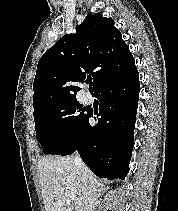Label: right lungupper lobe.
<instances>
[{"label":"right lung upper lobe","instance_id":"obj_1","mask_svg":"<svg viewBox=\"0 0 178 211\" xmlns=\"http://www.w3.org/2000/svg\"><path fill=\"white\" fill-rule=\"evenodd\" d=\"M135 68V60L114 21L102 14H88L75 34L63 36L37 65L33 82L34 114L45 107L76 100L80 83L92 75L93 91Z\"/></svg>","mask_w":178,"mask_h":211}]
</instances>
